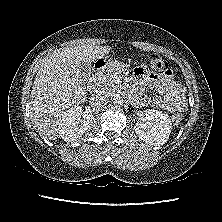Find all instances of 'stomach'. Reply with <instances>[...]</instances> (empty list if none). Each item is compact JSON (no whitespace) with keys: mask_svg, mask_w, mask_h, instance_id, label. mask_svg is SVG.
<instances>
[{"mask_svg":"<svg viewBox=\"0 0 222 222\" xmlns=\"http://www.w3.org/2000/svg\"><path fill=\"white\" fill-rule=\"evenodd\" d=\"M117 65H113V64H109L108 66H106V70H114V71H116V69H117Z\"/></svg>","mask_w":222,"mask_h":222,"instance_id":"stomach-1","label":"stomach"}]
</instances>
